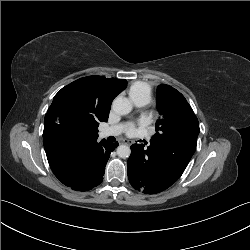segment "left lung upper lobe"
I'll list each match as a JSON object with an SVG mask.
<instances>
[{"label":"left lung upper lobe","instance_id":"1","mask_svg":"<svg viewBox=\"0 0 250 250\" xmlns=\"http://www.w3.org/2000/svg\"><path fill=\"white\" fill-rule=\"evenodd\" d=\"M157 107L161 118L156 123L152 141L179 139L183 136L198 137V119L179 91L169 85H160L157 90Z\"/></svg>","mask_w":250,"mask_h":250}]
</instances>
